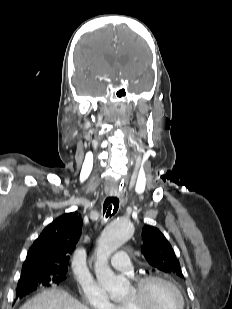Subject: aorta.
I'll list each match as a JSON object with an SVG mask.
<instances>
[{
  "mask_svg": "<svg viewBox=\"0 0 232 309\" xmlns=\"http://www.w3.org/2000/svg\"><path fill=\"white\" fill-rule=\"evenodd\" d=\"M133 234L132 225L123 219L113 220L102 232L96 249L95 273L113 301L122 300L130 289L129 281L117 276L108 265L109 257Z\"/></svg>",
  "mask_w": 232,
  "mask_h": 309,
  "instance_id": "aorta-1",
  "label": "aorta"
}]
</instances>
